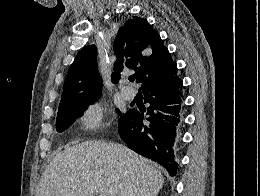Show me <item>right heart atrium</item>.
<instances>
[{
	"instance_id": "d8ad5b80",
	"label": "right heart atrium",
	"mask_w": 260,
	"mask_h": 196,
	"mask_svg": "<svg viewBox=\"0 0 260 196\" xmlns=\"http://www.w3.org/2000/svg\"><path fill=\"white\" fill-rule=\"evenodd\" d=\"M103 118V111L101 106L94 102L87 105L81 114L80 122L86 127L95 128L98 127ZM85 143H105L97 140H90ZM125 163V162H124Z\"/></svg>"
}]
</instances>
